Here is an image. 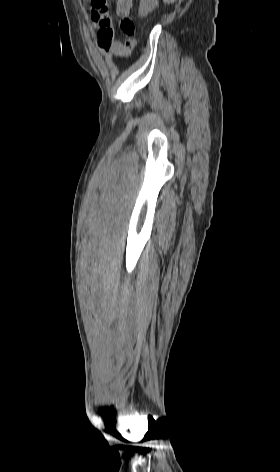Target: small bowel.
<instances>
[{"label": "small bowel", "mask_w": 280, "mask_h": 472, "mask_svg": "<svg viewBox=\"0 0 280 472\" xmlns=\"http://www.w3.org/2000/svg\"><path fill=\"white\" fill-rule=\"evenodd\" d=\"M132 0H117L116 13L119 17H128L132 8ZM97 28V43L98 46L105 52L112 53L116 57H123L127 55L131 47L128 46L127 40L124 42L114 39V30L111 22L107 25L101 26L96 23Z\"/></svg>", "instance_id": "obj_1"}]
</instances>
